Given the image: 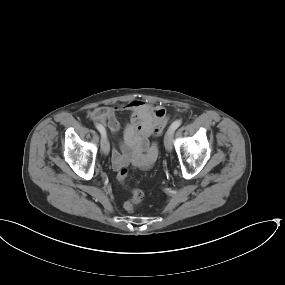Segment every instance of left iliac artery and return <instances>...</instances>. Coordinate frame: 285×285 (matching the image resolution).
Listing matches in <instances>:
<instances>
[{
    "label": "left iliac artery",
    "mask_w": 285,
    "mask_h": 285,
    "mask_svg": "<svg viewBox=\"0 0 285 285\" xmlns=\"http://www.w3.org/2000/svg\"><path fill=\"white\" fill-rule=\"evenodd\" d=\"M181 124H182L181 120H176L171 124L170 129L175 131Z\"/></svg>",
    "instance_id": "left-iliac-artery-1"
}]
</instances>
